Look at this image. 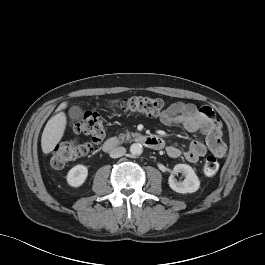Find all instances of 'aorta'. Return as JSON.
I'll return each mask as SVG.
<instances>
[{
  "mask_svg": "<svg viewBox=\"0 0 265 265\" xmlns=\"http://www.w3.org/2000/svg\"><path fill=\"white\" fill-rule=\"evenodd\" d=\"M130 152L132 155H141L142 152H143V147L140 143H133L131 146H130Z\"/></svg>",
  "mask_w": 265,
  "mask_h": 265,
  "instance_id": "aorta-1",
  "label": "aorta"
}]
</instances>
